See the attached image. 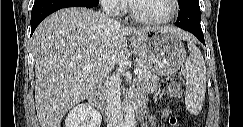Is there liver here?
<instances>
[{"label": "liver", "mask_w": 243, "mask_h": 127, "mask_svg": "<svg viewBox=\"0 0 243 127\" xmlns=\"http://www.w3.org/2000/svg\"><path fill=\"white\" fill-rule=\"evenodd\" d=\"M154 29L180 39L192 38L177 28L124 27L104 13L82 7L64 8L44 19L32 37L40 126L60 127L68 110L87 98L99 79L126 58V37ZM88 64L91 69L84 72Z\"/></svg>", "instance_id": "1"}]
</instances>
